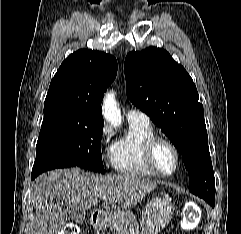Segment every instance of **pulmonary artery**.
Wrapping results in <instances>:
<instances>
[{
  "instance_id": "e3ab8cb5",
  "label": "pulmonary artery",
  "mask_w": 241,
  "mask_h": 234,
  "mask_svg": "<svg viewBox=\"0 0 241 234\" xmlns=\"http://www.w3.org/2000/svg\"><path fill=\"white\" fill-rule=\"evenodd\" d=\"M126 117L128 121L150 122L148 115L138 109L128 110Z\"/></svg>"
}]
</instances>
